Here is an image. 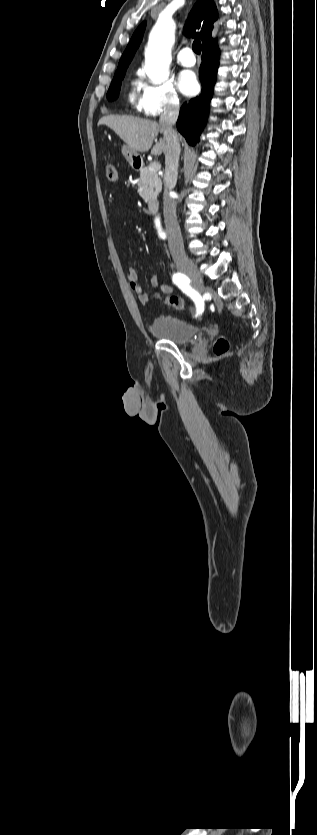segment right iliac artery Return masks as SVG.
Segmentation results:
<instances>
[{
  "instance_id": "obj_1",
  "label": "right iliac artery",
  "mask_w": 317,
  "mask_h": 835,
  "mask_svg": "<svg viewBox=\"0 0 317 835\" xmlns=\"http://www.w3.org/2000/svg\"><path fill=\"white\" fill-rule=\"evenodd\" d=\"M172 280L186 295H188L194 301L197 308V315H200L204 310V301L200 294L197 293L190 286L189 278L185 274L177 272L173 274Z\"/></svg>"
}]
</instances>
